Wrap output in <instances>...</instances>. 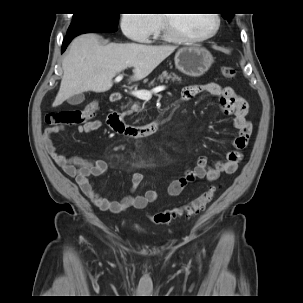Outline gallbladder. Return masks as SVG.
I'll return each instance as SVG.
<instances>
[{
	"label": "gallbladder",
	"mask_w": 303,
	"mask_h": 303,
	"mask_svg": "<svg viewBox=\"0 0 303 303\" xmlns=\"http://www.w3.org/2000/svg\"><path fill=\"white\" fill-rule=\"evenodd\" d=\"M84 99H85L84 94H77L70 97L67 101L71 105H79L84 101Z\"/></svg>",
	"instance_id": "1"
}]
</instances>
